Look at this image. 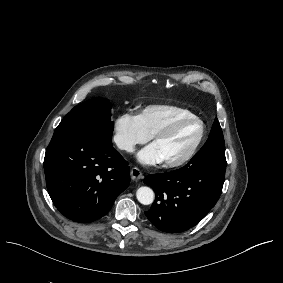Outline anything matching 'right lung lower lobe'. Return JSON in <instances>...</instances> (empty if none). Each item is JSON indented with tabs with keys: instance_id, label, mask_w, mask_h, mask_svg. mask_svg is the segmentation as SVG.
Instances as JSON below:
<instances>
[{
	"instance_id": "obj_1",
	"label": "right lung lower lobe",
	"mask_w": 283,
	"mask_h": 283,
	"mask_svg": "<svg viewBox=\"0 0 283 283\" xmlns=\"http://www.w3.org/2000/svg\"><path fill=\"white\" fill-rule=\"evenodd\" d=\"M44 171L56 208L81 223L106 215L130 182L128 162L111 141L84 135L53 136L46 149Z\"/></svg>"
}]
</instances>
